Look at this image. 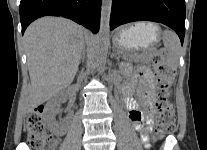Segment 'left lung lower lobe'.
<instances>
[{
    "instance_id": "1",
    "label": "left lung lower lobe",
    "mask_w": 207,
    "mask_h": 150,
    "mask_svg": "<svg viewBox=\"0 0 207 150\" xmlns=\"http://www.w3.org/2000/svg\"><path fill=\"white\" fill-rule=\"evenodd\" d=\"M153 21L171 27L183 44L185 34L184 0H112L110 29L134 21Z\"/></svg>"
}]
</instances>
